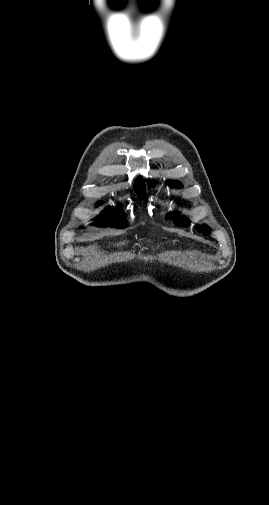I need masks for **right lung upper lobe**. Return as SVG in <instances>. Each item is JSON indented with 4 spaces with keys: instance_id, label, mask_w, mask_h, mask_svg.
<instances>
[{
    "instance_id": "right-lung-upper-lobe-1",
    "label": "right lung upper lobe",
    "mask_w": 269,
    "mask_h": 505,
    "mask_svg": "<svg viewBox=\"0 0 269 505\" xmlns=\"http://www.w3.org/2000/svg\"><path fill=\"white\" fill-rule=\"evenodd\" d=\"M135 191L141 198H145V185L141 178L136 180Z\"/></svg>"
}]
</instances>
